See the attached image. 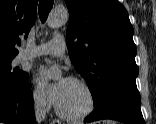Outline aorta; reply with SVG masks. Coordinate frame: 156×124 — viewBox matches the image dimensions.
<instances>
[{"label": "aorta", "instance_id": "obj_1", "mask_svg": "<svg viewBox=\"0 0 156 124\" xmlns=\"http://www.w3.org/2000/svg\"><path fill=\"white\" fill-rule=\"evenodd\" d=\"M68 12L66 9H55L53 10L47 20V25L50 28H55L66 24L68 21ZM55 72L50 74V77H53Z\"/></svg>", "mask_w": 156, "mask_h": 124}]
</instances>
